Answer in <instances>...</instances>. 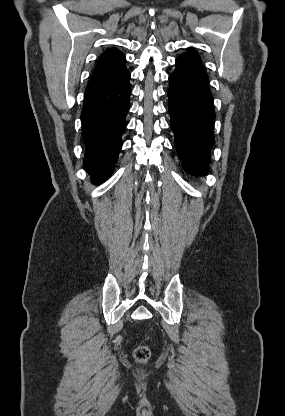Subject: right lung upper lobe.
Returning a JSON list of instances; mask_svg holds the SVG:
<instances>
[{"label":"right lung upper lobe","mask_w":285,"mask_h":416,"mask_svg":"<svg viewBox=\"0 0 285 416\" xmlns=\"http://www.w3.org/2000/svg\"><path fill=\"white\" fill-rule=\"evenodd\" d=\"M125 63V56L119 50L109 49L105 51L97 63L86 91L109 84L123 76L127 73Z\"/></svg>","instance_id":"right-lung-upper-lobe-1"}]
</instances>
